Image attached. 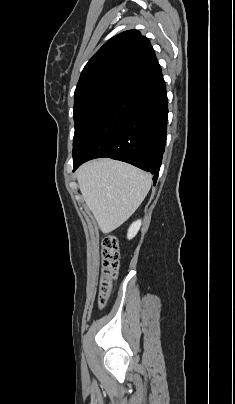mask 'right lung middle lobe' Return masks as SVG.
<instances>
[{"instance_id":"right-lung-middle-lobe-1","label":"right lung middle lobe","mask_w":235,"mask_h":404,"mask_svg":"<svg viewBox=\"0 0 235 404\" xmlns=\"http://www.w3.org/2000/svg\"><path fill=\"white\" fill-rule=\"evenodd\" d=\"M127 85L125 82H104L75 93L73 152L100 118L119 100Z\"/></svg>"}]
</instances>
